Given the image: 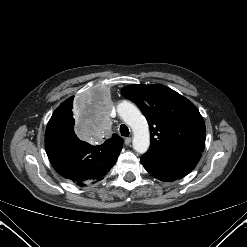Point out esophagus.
I'll return each mask as SVG.
<instances>
[{
    "instance_id": "1",
    "label": "esophagus",
    "mask_w": 247,
    "mask_h": 247,
    "mask_svg": "<svg viewBox=\"0 0 247 247\" xmlns=\"http://www.w3.org/2000/svg\"><path fill=\"white\" fill-rule=\"evenodd\" d=\"M132 139L130 137L124 139L125 145H129L131 143Z\"/></svg>"
}]
</instances>
